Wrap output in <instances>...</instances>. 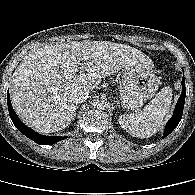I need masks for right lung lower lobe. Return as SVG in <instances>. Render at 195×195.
<instances>
[{"instance_id":"right-lung-lower-lobe-1","label":"right lung lower lobe","mask_w":195,"mask_h":195,"mask_svg":"<svg viewBox=\"0 0 195 195\" xmlns=\"http://www.w3.org/2000/svg\"><path fill=\"white\" fill-rule=\"evenodd\" d=\"M7 104H8L10 118H11L12 122L14 123V125L16 126V128L21 133H23L26 137L33 140L37 144L51 145V144L57 143L65 138H67L66 136H64V137H62V136H43V135H40L37 132L33 131L29 127H27L23 122L20 121L17 114L15 113V111L11 105L9 91L7 93Z\"/></svg>"}]
</instances>
